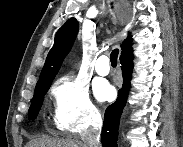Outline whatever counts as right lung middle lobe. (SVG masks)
I'll list each match as a JSON object with an SVG mask.
<instances>
[{
  "label": "right lung middle lobe",
  "mask_w": 183,
  "mask_h": 147,
  "mask_svg": "<svg viewBox=\"0 0 183 147\" xmlns=\"http://www.w3.org/2000/svg\"><path fill=\"white\" fill-rule=\"evenodd\" d=\"M49 87H45L39 90H35V94L34 97L32 99V104L29 108V112H28V117L29 120H34L36 119L39 110L42 106L43 100H44V95L47 93Z\"/></svg>",
  "instance_id": "right-lung-middle-lobe-1"
}]
</instances>
